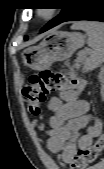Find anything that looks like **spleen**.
I'll use <instances>...</instances> for the list:
<instances>
[{
  "mask_svg": "<svg viewBox=\"0 0 104 169\" xmlns=\"http://www.w3.org/2000/svg\"><path fill=\"white\" fill-rule=\"evenodd\" d=\"M72 29L83 30L88 36L87 44L91 48L90 56L84 62V71H92L104 62V26L98 22L74 23Z\"/></svg>",
  "mask_w": 104,
  "mask_h": 169,
  "instance_id": "3e777b00",
  "label": "spleen"
}]
</instances>
